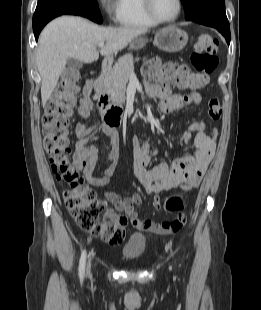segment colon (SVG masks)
<instances>
[{"mask_svg":"<svg viewBox=\"0 0 261 310\" xmlns=\"http://www.w3.org/2000/svg\"><path fill=\"white\" fill-rule=\"evenodd\" d=\"M218 48V41L204 32L195 40L190 57L196 73L177 62L161 63L157 59L149 61L144 67V72L148 77L158 79L168 88L198 89L206 84L208 75L217 68ZM78 79L79 72L75 68L70 67L63 72L58 88L46 106L43 118V144L56 178L67 187L63 193L65 205L78 226L111 245H119L125 238L127 216L104 213L103 202L98 199L95 191L86 185L83 177L70 163L71 149L68 133L70 118L77 100ZM208 115L213 121L220 120L222 108L218 98L209 99ZM201 127L204 129V125ZM210 134L215 137L216 129H212ZM192 188H194L193 183H183L181 194L172 196L164 202V210L175 213L169 221L149 222L146 228L150 232L165 235L174 234L182 229L186 223V215L183 212L184 193Z\"/></svg>","mask_w":261,"mask_h":310,"instance_id":"colon-1","label":"colon"}]
</instances>
